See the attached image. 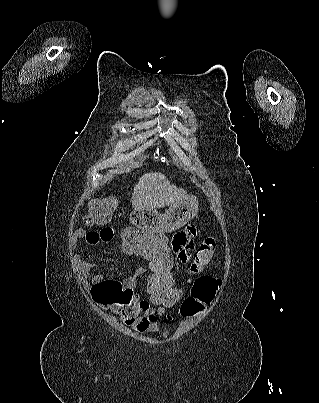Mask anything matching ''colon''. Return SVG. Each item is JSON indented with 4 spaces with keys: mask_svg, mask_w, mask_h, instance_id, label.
Returning a JSON list of instances; mask_svg holds the SVG:
<instances>
[{
    "mask_svg": "<svg viewBox=\"0 0 319 403\" xmlns=\"http://www.w3.org/2000/svg\"><path fill=\"white\" fill-rule=\"evenodd\" d=\"M92 206L85 217L87 224L105 223L113 215L115 207L114 197H93ZM113 239V238H112ZM169 234H142L141 229L129 227L121 235V242L127 243L125 258L132 260L136 254L137 260H144L147 270V296L149 304H160L162 313H173L180 317L182 325H192L193 317L206 315L212 299L220 287L218 276H204L213 264L216 245L213 239L195 245L190 258V267H187V276L194 282L191 292L193 296H183L181 308V288L175 282V271L178 262L174 261L169 252ZM96 303V301L94 300Z\"/></svg>",
    "mask_w": 319,
    "mask_h": 403,
    "instance_id": "obj_1",
    "label": "colon"
}]
</instances>
